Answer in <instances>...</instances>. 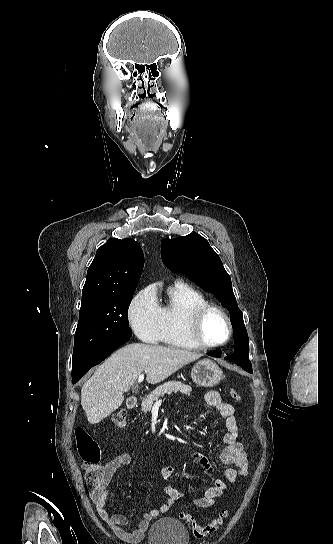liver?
Returning a JSON list of instances; mask_svg holds the SVG:
<instances>
[{"label":"liver","instance_id":"6515ba94","mask_svg":"<svg viewBox=\"0 0 333 544\" xmlns=\"http://www.w3.org/2000/svg\"><path fill=\"white\" fill-rule=\"evenodd\" d=\"M202 354L184 349L133 343L114 352L81 389V405L90 424H97L117 410L137 377L146 373L157 384Z\"/></svg>","mask_w":333,"mask_h":544}]
</instances>
